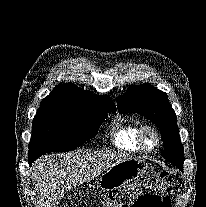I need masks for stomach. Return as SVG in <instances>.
I'll return each mask as SVG.
<instances>
[{
	"label": "stomach",
	"instance_id": "0dacf381",
	"mask_svg": "<svg viewBox=\"0 0 206 207\" xmlns=\"http://www.w3.org/2000/svg\"><path fill=\"white\" fill-rule=\"evenodd\" d=\"M148 163L141 158L126 159L109 168L100 178L103 191L117 190L146 173Z\"/></svg>",
	"mask_w": 206,
	"mask_h": 207
}]
</instances>
